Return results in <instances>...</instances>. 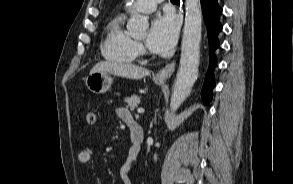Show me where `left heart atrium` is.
Here are the masks:
<instances>
[{
    "label": "left heart atrium",
    "instance_id": "obj_1",
    "mask_svg": "<svg viewBox=\"0 0 293 184\" xmlns=\"http://www.w3.org/2000/svg\"><path fill=\"white\" fill-rule=\"evenodd\" d=\"M177 36L176 19L171 15H162L152 21L146 43L151 51L165 53L174 46Z\"/></svg>",
    "mask_w": 293,
    "mask_h": 184
}]
</instances>
